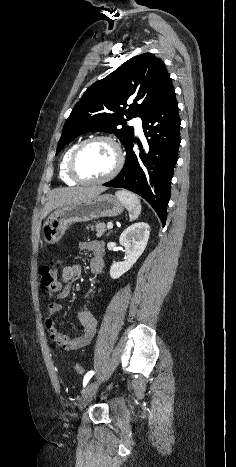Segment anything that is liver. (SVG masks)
Listing matches in <instances>:
<instances>
[{
  "mask_svg": "<svg viewBox=\"0 0 236 467\" xmlns=\"http://www.w3.org/2000/svg\"><path fill=\"white\" fill-rule=\"evenodd\" d=\"M104 187H71L54 189L44 206L41 218L44 219L51 211L64 205L90 200L102 192Z\"/></svg>",
  "mask_w": 236,
  "mask_h": 467,
  "instance_id": "obj_1",
  "label": "liver"
}]
</instances>
